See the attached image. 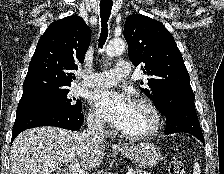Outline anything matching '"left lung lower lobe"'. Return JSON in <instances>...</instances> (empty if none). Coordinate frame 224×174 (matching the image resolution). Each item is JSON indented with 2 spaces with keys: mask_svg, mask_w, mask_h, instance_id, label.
Wrapping results in <instances>:
<instances>
[{
  "mask_svg": "<svg viewBox=\"0 0 224 174\" xmlns=\"http://www.w3.org/2000/svg\"><path fill=\"white\" fill-rule=\"evenodd\" d=\"M166 117V134L189 133L204 144V137L196 114L194 99H174L162 112Z\"/></svg>",
  "mask_w": 224,
  "mask_h": 174,
  "instance_id": "1",
  "label": "left lung lower lobe"
}]
</instances>
